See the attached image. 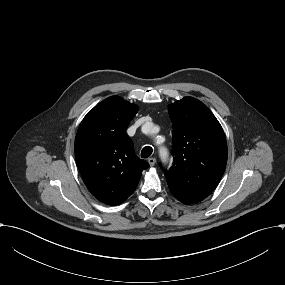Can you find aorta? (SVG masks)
I'll list each match as a JSON object with an SVG mask.
<instances>
[{"mask_svg": "<svg viewBox=\"0 0 285 285\" xmlns=\"http://www.w3.org/2000/svg\"><path fill=\"white\" fill-rule=\"evenodd\" d=\"M160 155H161V157H166V155H167V152H166V149L165 148H161L160 149Z\"/></svg>", "mask_w": 285, "mask_h": 285, "instance_id": "obj_1", "label": "aorta"}]
</instances>
